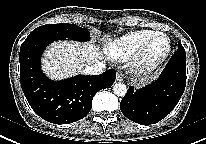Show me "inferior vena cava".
Listing matches in <instances>:
<instances>
[{"label": "inferior vena cava", "instance_id": "obj_1", "mask_svg": "<svg viewBox=\"0 0 206 144\" xmlns=\"http://www.w3.org/2000/svg\"><path fill=\"white\" fill-rule=\"evenodd\" d=\"M105 68V64L104 63H95L91 66H87L84 69V73L88 74V75H100L101 73H103V69Z\"/></svg>", "mask_w": 206, "mask_h": 144}]
</instances>
